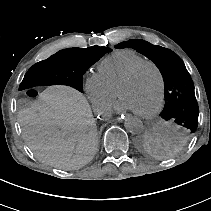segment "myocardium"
<instances>
[{"mask_svg": "<svg viewBox=\"0 0 211 211\" xmlns=\"http://www.w3.org/2000/svg\"><path fill=\"white\" fill-rule=\"evenodd\" d=\"M144 66L153 67L158 75L159 97H158V101H157L156 105L154 106V108L152 110H150L148 112H144V113L133 111V113L135 115H137L138 117L151 118V117L155 116L161 109L163 102H164V96H165L164 75H163V72L160 69V67L154 61L144 60V61L138 63L137 65H135L133 68H131L116 84L115 93H116L117 97L121 98V95H120L121 87L124 86L126 83H128L135 76V74Z\"/></svg>", "mask_w": 211, "mask_h": 211, "instance_id": "obj_1", "label": "myocardium"}]
</instances>
